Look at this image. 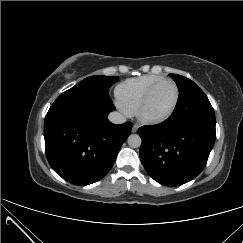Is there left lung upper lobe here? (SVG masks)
<instances>
[{"instance_id":"1","label":"left lung upper lobe","mask_w":243,"mask_h":243,"mask_svg":"<svg viewBox=\"0 0 243 243\" xmlns=\"http://www.w3.org/2000/svg\"><path fill=\"white\" fill-rule=\"evenodd\" d=\"M170 77L180 93L172 115L194 122H215L214 109L204 92L186 77L177 74Z\"/></svg>"}]
</instances>
